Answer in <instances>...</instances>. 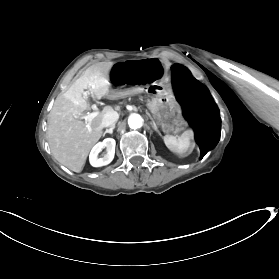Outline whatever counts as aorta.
<instances>
[{
    "label": "aorta",
    "instance_id": "762f6f07",
    "mask_svg": "<svg viewBox=\"0 0 279 279\" xmlns=\"http://www.w3.org/2000/svg\"><path fill=\"white\" fill-rule=\"evenodd\" d=\"M143 119L138 114H133L128 119V125L131 129H138L142 127Z\"/></svg>",
    "mask_w": 279,
    "mask_h": 279
}]
</instances>
